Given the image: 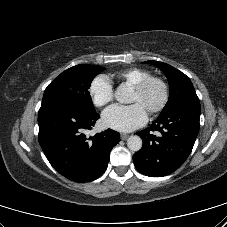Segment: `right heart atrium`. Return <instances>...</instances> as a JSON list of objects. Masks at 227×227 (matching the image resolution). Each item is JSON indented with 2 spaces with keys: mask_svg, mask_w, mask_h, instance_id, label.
Masks as SVG:
<instances>
[{
  "mask_svg": "<svg viewBox=\"0 0 227 227\" xmlns=\"http://www.w3.org/2000/svg\"><path fill=\"white\" fill-rule=\"evenodd\" d=\"M88 92L93 104L97 107L106 106L114 96L112 84L105 75L96 76L91 81Z\"/></svg>",
  "mask_w": 227,
  "mask_h": 227,
  "instance_id": "right-heart-atrium-1",
  "label": "right heart atrium"
}]
</instances>
